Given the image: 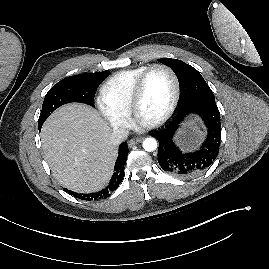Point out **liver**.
Masks as SVG:
<instances>
[{"label": "liver", "mask_w": 269, "mask_h": 269, "mask_svg": "<svg viewBox=\"0 0 269 269\" xmlns=\"http://www.w3.org/2000/svg\"><path fill=\"white\" fill-rule=\"evenodd\" d=\"M94 108L72 103L57 109L41 130L42 149L55 179L77 192L102 189L113 173L117 146Z\"/></svg>", "instance_id": "liver-1"}]
</instances>
